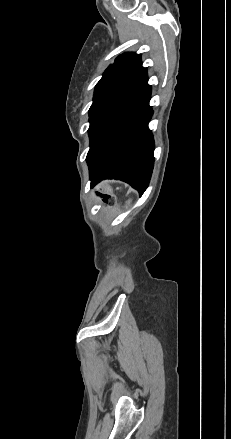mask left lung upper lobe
<instances>
[{
	"instance_id": "left-lung-upper-lobe-1",
	"label": "left lung upper lobe",
	"mask_w": 231,
	"mask_h": 439,
	"mask_svg": "<svg viewBox=\"0 0 231 439\" xmlns=\"http://www.w3.org/2000/svg\"><path fill=\"white\" fill-rule=\"evenodd\" d=\"M146 79L147 70L142 66L140 54L130 52L118 56L95 87L89 109V130Z\"/></svg>"
}]
</instances>
